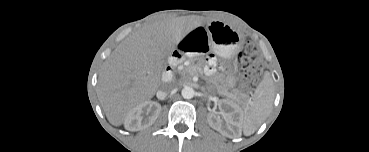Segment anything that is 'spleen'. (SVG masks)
Wrapping results in <instances>:
<instances>
[{
	"label": "spleen",
	"mask_w": 369,
	"mask_h": 152,
	"mask_svg": "<svg viewBox=\"0 0 369 152\" xmlns=\"http://www.w3.org/2000/svg\"><path fill=\"white\" fill-rule=\"evenodd\" d=\"M274 98V91L271 81L266 77L257 87L253 96V101L246 108L242 127L245 131L254 133L269 115Z\"/></svg>",
	"instance_id": "3e777b00"
}]
</instances>
